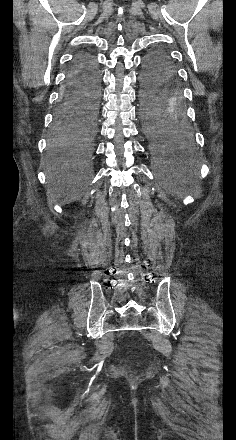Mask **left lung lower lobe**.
Here are the masks:
<instances>
[{"mask_svg": "<svg viewBox=\"0 0 236 440\" xmlns=\"http://www.w3.org/2000/svg\"><path fill=\"white\" fill-rule=\"evenodd\" d=\"M140 99L143 132L154 146L189 140L181 83L166 53L150 64L144 63Z\"/></svg>", "mask_w": 236, "mask_h": 440, "instance_id": "0a47b994", "label": "left lung lower lobe"}]
</instances>
